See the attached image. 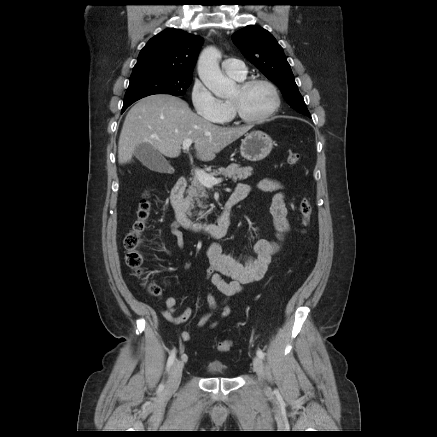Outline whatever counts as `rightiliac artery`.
<instances>
[{
  "instance_id": "obj_1",
  "label": "right iliac artery",
  "mask_w": 437,
  "mask_h": 437,
  "mask_svg": "<svg viewBox=\"0 0 437 437\" xmlns=\"http://www.w3.org/2000/svg\"><path fill=\"white\" fill-rule=\"evenodd\" d=\"M175 357H176V351L173 350L168 358V361H167V366H166L167 371H169V369L173 365ZM160 387L163 388L164 385L162 384Z\"/></svg>"
}]
</instances>
